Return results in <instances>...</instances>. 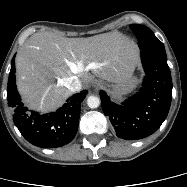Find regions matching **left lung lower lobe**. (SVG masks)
Masks as SVG:
<instances>
[{
    "label": "left lung lower lobe",
    "instance_id": "1",
    "mask_svg": "<svg viewBox=\"0 0 187 187\" xmlns=\"http://www.w3.org/2000/svg\"><path fill=\"white\" fill-rule=\"evenodd\" d=\"M145 70L140 90L122 103L112 102L100 91L103 112L109 117L116 135L138 140L153 134L164 122L172 98V78L167 57L141 50Z\"/></svg>",
    "mask_w": 187,
    "mask_h": 187
}]
</instances>
